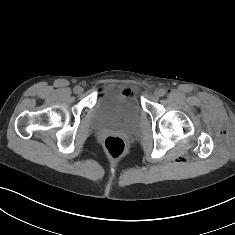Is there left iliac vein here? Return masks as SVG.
Listing matches in <instances>:
<instances>
[{
	"label": "left iliac vein",
	"instance_id": "left-iliac-vein-1",
	"mask_svg": "<svg viewBox=\"0 0 235 235\" xmlns=\"http://www.w3.org/2000/svg\"><path fill=\"white\" fill-rule=\"evenodd\" d=\"M161 96V91L160 90H155L154 92V97L158 99Z\"/></svg>",
	"mask_w": 235,
	"mask_h": 235
}]
</instances>
